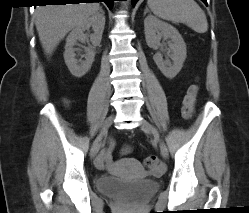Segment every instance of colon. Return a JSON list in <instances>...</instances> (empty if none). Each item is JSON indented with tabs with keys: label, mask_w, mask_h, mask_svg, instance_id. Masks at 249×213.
<instances>
[{
	"label": "colon",
	"mask_w": 249,
	"mask_h": 213,
	"mask_svg": "<svg viewBox=\"0 0 249 213\" xmlns=\"http://www.w3.org/2000/svg\"><path fill=\"white\" fill-rule=\"evenodd\" d=\"M199 87L192 85L188 88L182 106V114L185 118H191L195 112V105L198 97ZM144 167L147 170H156L160 165V161L156 156H148L143 161Z\"/></svg>",
	"instance_id": "1"
}]
</instances>
